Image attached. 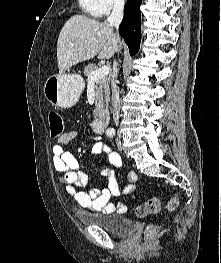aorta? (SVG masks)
I'll return each instance as SVG.
<instances>
[{
    "label": "aorta",
    "instance_id": "aorta-1",
    "mask_svg": "<svg viewBox=\"0 0 221 263\" xmlns=\"http://www.w3.org/2000/svg\"><path fill=\"white\" fill-rule=\"evenodd\" d=\"M113 130L111 129V128H109L108 130H107V132L108 133H111Z\"/></svg>",
    "mask_w": 221,
    "mask_h": 263
}]
</instances>
